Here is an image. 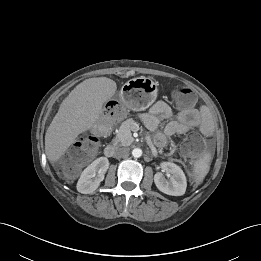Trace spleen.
<instances>
[{"label": "spleen", "instance_id": "1", "mask_svg": "<svg viewBox=\"0 0 261 261\" xmlns=\"http://www.w3.org/2000/svg\"><path fill=\"white\" fill-rule=\"evenodd\" d=\"M211 155L204 153V155L194 165V178L196 183H201L210 169Z\"/></svg>", "mask_w": 261, "mask_h": 261}]
</instances>
